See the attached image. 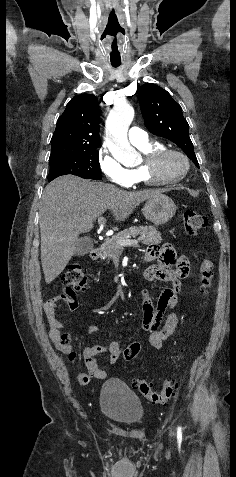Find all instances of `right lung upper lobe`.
I'll list each match as a JSON object with an SVG mask.
<instances>
[{"mask_svg": "<svg viewBox=\"0 0 236 477\" xmlns=\"http://www.w3.org/2000/svg\"><path fill=\"white\" fill-rule=\"evenodd\" d=\"M99 103L92 94L74 97L57 121L49 161L99 147Z\"/></svg>", "mask_w": 236, "mask_h": 477, "instance_id": "obj_1", "label": "right lung upper lobe"}]
</instances>
